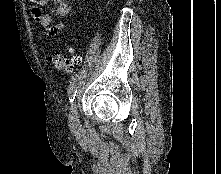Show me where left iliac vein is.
Instances as JSON below:
<instances>
[{
	"mask_svg": "<svg viewBox=\"0 0 221 174\" xmlns=\"http://www.w3.org/2000/svg\"><path fill=\"white\" fill-rule=\"evenodd\" d=\"M69 126L73 131H78L81 128V124L77 111V98L71 103L70 111L68 114Z\"/></svg>",
	"mask_w": 221,
	"mask_h": 174,
	"instance_id": "4c4485c4",
	"label": "left iliac vein"
}]
</instances>
